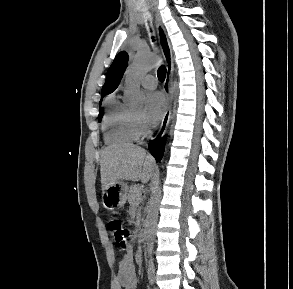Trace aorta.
<instances>
[{"mask_svg": "<svg viewBox=\"0 0 293 289\" xmlns=\"http://www.w3.org/2000/svg\"><path fill=\"white\" fill-rule=\"evenodd\" d=\"M159 64L160 60L157 57L138 53L128 70V74L125 80L126 98L130 105L140 106L143 104L145 95L140 90L139 77L146 72L158 67ZM160 200L161 187L159 184H157L153 188L149 200L144 230L147 251L150 254L152 253L154 246Z\"/></svg>", "mask_w": 293, "mask_h": 289, "instance_id": "obj_1", "label": "aorta"}]
</instances>
